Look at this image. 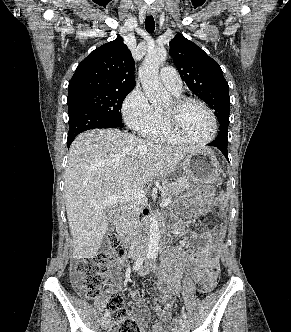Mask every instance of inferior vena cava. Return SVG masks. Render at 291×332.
Here are the masks:
<instances>
[{
  "label": "inferior vena cava",
  "mask_w": 291,
  "mask_h": 332,
  "mask_svg": "<svg viewBox=\"0 0 291 332\" xmlns=\"http://www.w3.org/2000/svg\"><path fill=\"white\" fill-rule=\"evenodd\" d=\"M134 229L136 228L134 222L131 224ZM137 231L134 232V235H132L131 238V244H130V253H134L138 251V241H137Z\"/></svg>",
  "instance_id": "obj_1"
}]
</instances>
